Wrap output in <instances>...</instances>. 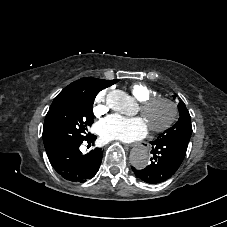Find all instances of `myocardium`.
<instances>
[{
  "instance_id": "myocardium-1",
  "label": "myocardium",
  "mask_w": 227,
  "mask_h": 227,
  "mask_svg": "<svg viewBox=\"0 0 227 227\" xmlns=\"http://www.w3.org/2000/svg\"><path fill=\"white\" fill-rule=\"evenodd\" d=\"M158 103H166L169 105L171 112L168 117V119L160 126H151L149 127L151 131L153 132H164L168 129H170L178 120L180 109L177 101H175L172 98L157 95L148 98L144 102L140 103V114L141 116L144 115L148 110H150L152 107L157 105Z\"/></svg>"
}]
</instances>
